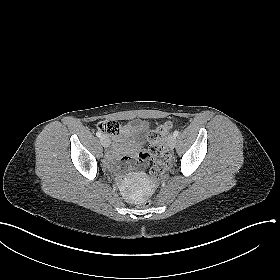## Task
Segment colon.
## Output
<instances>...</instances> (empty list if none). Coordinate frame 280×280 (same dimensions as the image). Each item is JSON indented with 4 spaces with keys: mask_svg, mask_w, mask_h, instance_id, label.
Returning a JSON list of instances; mask_svg holds the SVG:
<instances>
[{
    "mask_svg": "<svg viewBox=\"0 0 280 280\" xmlns=\"http://www.w3.org/2000/svg\"><path fill=\"white\" fill-rule=\"evenodd\" d=\"M170 128V123H164L148 133V140L151 144L153 154V165L150 169V174L157 179L164 175L169 166V155L165 145V137ZM98 129L111 136H117L120 133V126L115 121L100 122ZM151 205L152 200L150 198H145L139 203L141 208H148Z\"/></svg>",
    "mask_w": 280,
    "mask_h": 280,
    "instance_id": "1",
    "label": "colon"
}]
</instances>
